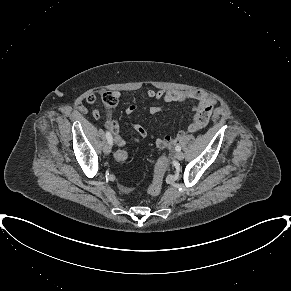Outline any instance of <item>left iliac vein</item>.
<instances>
[{"label":"left iliac vein","instance_id":"4c4485c4","mask_svg":"<svg viewBox=\"0 0 291 291\" xmlns=\"http://www.w3.org/2000/svg\"><path fill=\"white\" fill-rule=\"evenodd\" d=\"M176 159L177 160H183L184 159V153L183 152H177L176 153Z\"/></svg>","mask_w":291,"mask_h":291}]
</instances>
